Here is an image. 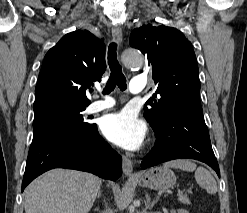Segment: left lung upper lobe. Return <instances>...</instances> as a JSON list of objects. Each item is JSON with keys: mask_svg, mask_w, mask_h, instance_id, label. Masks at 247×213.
Wrapping results in <instances>:
<instances>
[{"mask_svg": "<svg viewBox=\"0 0 247 213\" xmlns=\"http://www.w3.org/2000/svg\"><path fill=\"white\" fill-rule=\"evenodd\" d=\"M129 44L146 55L157 85L158 97L154 95L144 106V116L153 130L177 108L202 114L198 64L192 44L182 32L145 24L132 31Z\"/></svg>", "mask_w": 247, "mask_h": 213, "instance_id": "5c2ea615", "label": "left lung upper lobe"}]
</instances>
